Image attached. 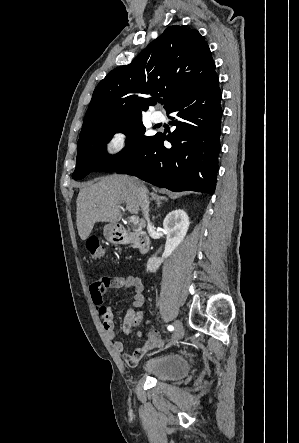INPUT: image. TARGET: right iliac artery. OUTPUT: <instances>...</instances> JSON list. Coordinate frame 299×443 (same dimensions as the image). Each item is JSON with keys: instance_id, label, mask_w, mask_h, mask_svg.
I'll return each mask as SVG.
<instances>
[{"instance_id": "right-iliac-artery-1", "label": "right iliac artery", "mask_w": 299, "mask_h": 443, "mask_svg": "<svg viewBox=\"0 0 299 443\" xmlns=\"http://www.w3.org/2000/svg\"><path fill=\"white\" fill-rule=\"evenodd\" d=\"M167 329H168L169 331H173V330H174V327H173L172 325H169V326L167 327Z\"/></svg>"}]
</instances>
